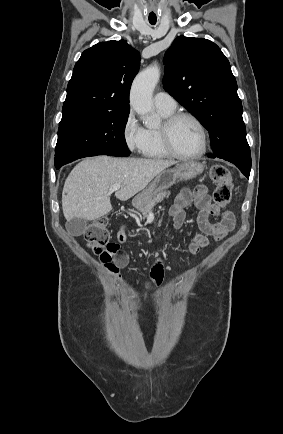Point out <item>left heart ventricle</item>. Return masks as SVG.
Returning a JSON list of instances; mask_svg holds the SVG:
<instances>
[{
  "label": "left heart ventricle",
  "instance_id": "obj_1",
  "mask_svg": "<svg viewBox=\"0 0 283 434\" xmlns=\"http://www.w3.org/2000/svg\"><path fill=\"white\" fill-rule=\"evenodd\" d=\"M172 143L176 151L189 155L199 151L201 137L197 126L189 119L179 120L172 130Z\"/></svg>",
  "mask_w": 283,
  "mask_h": 434
}]
</instances>
